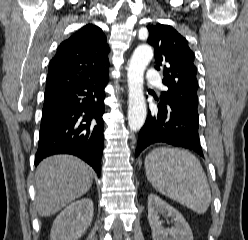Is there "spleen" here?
I'll use <instances>...</instances> for the list:
<instances>
[{"mask_svg": "<svg viewBox=\"0 0 248 240\" xmlns=\"http://www.w3.org/2000/svg\"><path fill=\"white\" fill-rule=\"evenodd\" d=\"M145 172L152 186L163 195L204 214L211 191L200 161L189 151L159 147L145 158Z\"/></svg>", "mask_w": 248, "mask_h": 240, "instance_id": "obj_1", "label": "spleen"}]
</instances>
